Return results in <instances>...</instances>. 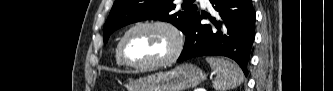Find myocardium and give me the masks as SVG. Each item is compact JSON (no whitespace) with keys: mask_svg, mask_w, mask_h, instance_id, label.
<instances>
[{"mask_svg":"<svg viewBox=\"0 0 333 91\" xmlns=\"http://www.w3.org/2000/svg\"><path fill=\"white\" fill-rule=\"evenodd\" d=\"M145 27H158L165 29L168 31L171 36L173 37L174 40V45L173 49L170 53V55L162 60L159 61H154V62H149V63H136L131 61L126 53V45H127V40L129 36L136 31L137 29L140 28H145ZM184 46V38L180 30L176 25H174L171 22L164 21V20H152V21H144V22H139L133 26H131L121 37L120 43H119V55L122 61L124 62L125 65L135 68V69H140V70H146V69H155V68H161L164 66H167L174 61L178 59L180 56Z\"/></svg>","mask_w":333,"mask_h":91,"instance_id":"obj_1","label":"myocardium"}]
</instances>
